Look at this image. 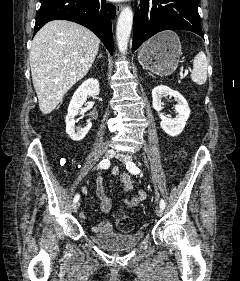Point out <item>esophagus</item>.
Masks as SVG:
<instances>
[{
    "label": "esophagus",
    "instance_id": "34e87169",
    "mask_svg": "<svg viewBox=\"0 0 240 281\" xmlns=\"http://www.w3.org/2000/svg\"><path fill=\"white\" fill-rule=\"evenodd\" d=\"M115 7H116V11H117L118 13H119V12L122 10V8H123L122 4H116Z\"/></svg>",
    "mask_w": 240,
    "mask_h": 281
}]
</instances>
